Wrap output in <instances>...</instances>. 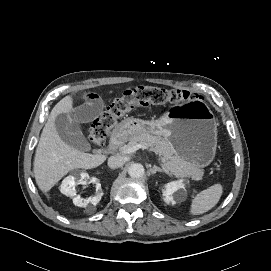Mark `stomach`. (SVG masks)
<instances>
[{
  "mask_svg": "<svg viewBox=\"0 0 271 271\" xmlns=\"http://www.w3.org/2000/svg\"><path fill=\"white\" fill-rule=\"evenodd\" d=\"M117 132L131 138L141 133L161 135L185 161L199 168L212 162L217 146V122L202 101L175 104L156 120L128 118Z\"/></svg>",
  "mask_w": 271,
  "mask_h": 271,
  "instance_id": "1",
  "label": "stomach"
}]
</instances>
